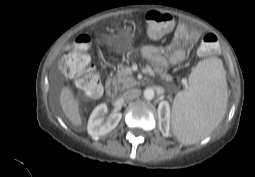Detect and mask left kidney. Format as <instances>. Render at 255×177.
<instances>
[{"instance_id":"1","label":"left kidney","mask_w":255,"mask_h":177,"mask_svg":"<svg viewBox=\"0 0 255 177\" xmlns=\"http://www.w3.org/2000/svg\"><path fill=\"white\" fill-rule=\"evenodd\" d=\"M158 116H159V124L162 126L165 134L169 131V122H170V106L168 102L163 101L159 104L158 107Z\"/></svg>"}]
</instances>
